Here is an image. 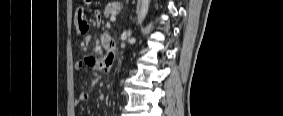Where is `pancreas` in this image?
Instances as JSON below:
<instances>
[{"label": "pancreas", "mask_w": 283, "mask_h": 116, "mask_svg": "<svg viewBox=\"0 0 283 116\" xmlns=\"http://www.w3.org/2000/svg\"><path fill=\"white\" fill-rule=\"evenodd\" d=\"M120 7H121V3L118 1L108 4L104 10L105 17H108L111 14H116V12L120 9Z\"/></svg>", "instance_id": "1"}]
</instances>
